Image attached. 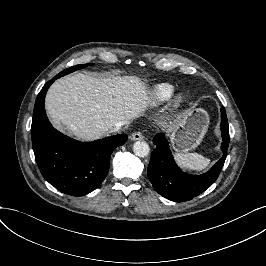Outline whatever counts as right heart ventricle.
I'll return each mask as SVG.
<instances>
[{
    "label": "right heart ventricle",
    "instance_id": "obj_1",
    "mask_svg": "<svg viewBox=\"0 0 266 266\" xmlns=\"http://www.w3.org/2000/svg\"><path fill=\"white\" fill-rule=\"evenodd\" d=\"M176 86L169 82H158L153 84L145 92L141 109L145 113H152L167 104L176 94Z\"/></svg>",
    "mask_w": 266,
    "mask_h": 266
}]
</instances>
